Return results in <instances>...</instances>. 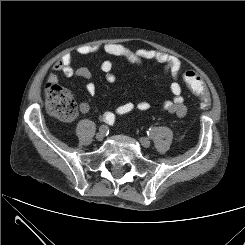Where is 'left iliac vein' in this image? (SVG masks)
<instances>
[{
	"label": "left iliac vein",
	"instance_id": "obj_1",
	"mask_svg": "<svg viewBox=\"0 0 245 245\" xmlns=\"http://www.w3.org/2000/svg\"><path fill=\"white\" fill-rule=\"evenodd\" d=\"M140 143L142 144L143 147L148 148L151 144L150 140L146 137H141L140 138Z\"/></svg>",
	"mask_w": 245,
	"mask_h": 245
}]
</instances>
